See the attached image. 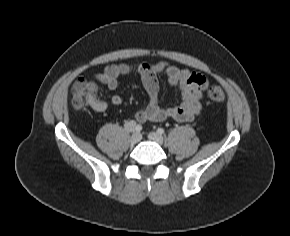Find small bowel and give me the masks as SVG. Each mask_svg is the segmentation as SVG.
<instances>
[{
    "instance_id": "c3829d8e",
    "label": "small bowel",
    "mask_w": 290,
    "mask_h": 236,
    "mask_svg": "<svg viewBox=\"0 0 290 236\" xmlns=\"http://www.w3.org/2000/svg\"><path fill=\"white\" fill-rule=\"evenodd\" d=\"M132 72L140 75L149 97L147 105L135 113L136 122H160L168 118L178 121H190L201 112V101L204 90L208 85V80L205 76L191 72L186 68H180L166 62L110 64L101 72L96 73L94 78L110 90H115L118 86L119 78ZM160 75H164L171 86L180 90L182 103L179 106L170 108L160 106V87L158 83V76ZM122 101V97L118 94H113L110 97V102L113 105H120ZM90 106L97 112H104L108 108V103L105 100L96 98Z\"/></svg>"
}]
</instances>
